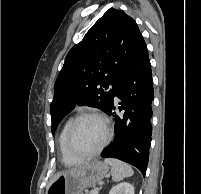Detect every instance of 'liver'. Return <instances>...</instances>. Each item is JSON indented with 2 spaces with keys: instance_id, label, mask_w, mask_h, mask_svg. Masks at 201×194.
<instances>
[{
  "instance_id": "liver-1",
  "label": "liver",
  "mask_w": 201,
  "mask_h": 194,
  "mask_svg": "<svg viewBox=\"0 0 201 194\" xmlns=\"http://www.w3.org/2000/svg\"><path fill=\"white\" fill-rule=\"evenodd\" d=\"M70 171H72V170H70ZM67 172H69V171H67ZM67 172L58 173V174L52 179V181L50 182L49 186L55 181V179H56L58 176H60V175H62V174H65V173H67Z\"/></svg>"
}]
</instances>
